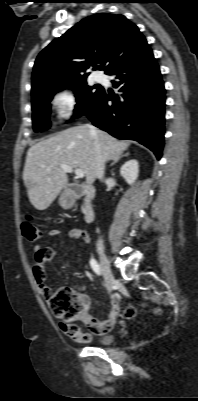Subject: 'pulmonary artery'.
<instances>
[{"label":"pulmonary artery","mask_w":198,"mask_h":401,"mask_svg":"<svg viewBox=\"0 0 198 401\" xmlns=\"http://www.w3.org/2000/svg\"><path fill=\"white\" fill-rule=\"evenodd\" d=\"M103 80H104V77L101 74H96L95 75V81L96 82L101 83V82H103Z\"/></svg>","instance_id":"1"}]
</instances>
